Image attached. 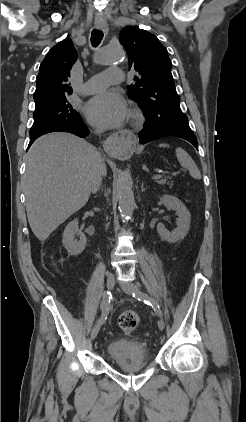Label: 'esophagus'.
Here are the masks:
<instances>
[{
	"instance_id": "obj_1",
	"label": "esophagus",
	"mask_w": 246,
	"mask_h": 422,
	"mask_svg": "<svg viewBox=\"0 0 246 422\" xmlns=\"http://www.w3.org/2000/svg\"><path fill=\"white\" fill-rule=\"evenodd\" d=\"M96 28L98 30L103 31L104 33H108V26L107 25H97ZM104 150L110 155H116L120 151L122 147V141L118 137V135L110 136L105 140L103 143Z\"/></svg>"
}]
</instances>
